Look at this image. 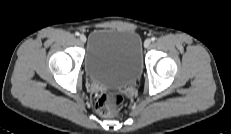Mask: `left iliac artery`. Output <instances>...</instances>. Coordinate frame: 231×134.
Listing matches in <instances>:
<instances>
[{
  "label": "left iliac artery",
  "instance_id": "left-iliac-artery-1",
  "mask_svg": "<svg viewBox=\"0 0 231 134\" xmlns=\"http://www.w3.org/2000/svg\"><path fill=\"white\" fill-rule=\"evenodd\" d=\"M155 40H156V38H155V37H152V38H151V41H155Z\"/></svg>",
  "mask_w": 231,
  "mask_h": 134
}]
</instances>
